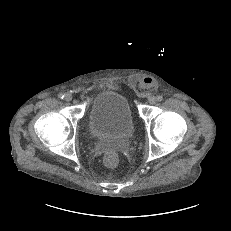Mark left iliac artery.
<instances>
[{
    "label": "left iliac artery",
    "mask_w": 231,
    "mask_h": 231,
    "mask_svg": "<svg viewBox=\"0 0 231 231\" xmlns=\"http://www.w3.org/2000/svg\"><path fill=\"white\" fill-rule=\"evenodd\" d=\"M163 100V97L162 96H157V101L161 102Z\"/></svg>",
    "instance_id": "1"
}]
</instances>
